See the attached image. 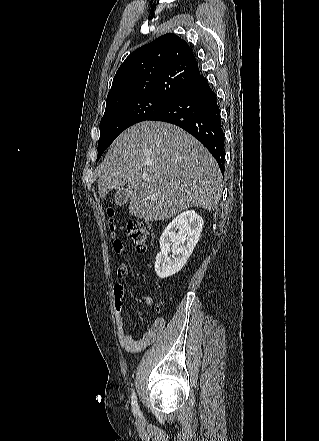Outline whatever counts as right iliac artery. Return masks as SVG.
I'll return each instance as SVG.
<instances>
[{
  "mask_svg": "<svg viewBox=\"0 0 319 441\" xmlns=\"http://www.w3.org/2000/svg\"><path fill=\"white\" fill-rule=\"evenodd\" d=\"M132 411L134 415H137L139 413V407L137 403V397L135 392L132 393Z\"/></svg>",
  "mask_w": 319,
  "mask_h": 441,
  "instance_id": "1",
  "label": "right iliac artery"
}]
</instances>
